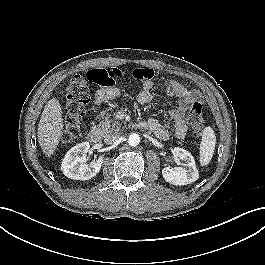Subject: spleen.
Returning <instances> with one entry per match:
<instances>
[{"mask_svg":"<svg viewBox=\"0 0 265 265\" xmlns=\"http://www.w3.org/2000/svg\"><path fill=\"white\" fill-rule=\"evenodd\" d=\"M216 145V136L213 129L207 126L203 130L200 144V164L206 166L210 163Z\"/></svg>","mask_w":265,"mask_h":265,"instance_id":"spleen-1","label":"spleen"}]
</instances>
